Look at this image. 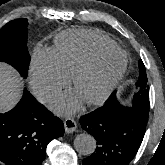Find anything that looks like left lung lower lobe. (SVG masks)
<instances>
[{"instance_id": "1", "label": "left lung lower lobe", "mask_w": 165, "mask_h": 165, "mask_svg": "<svg viewBox=\"0 0 165 165\" xmlns=\"http://www.w3.org/2000/svg\"><path fill=\"white\" fill-rule=\"evenodd\" d=\"M149 112L104 106L80 118L81 127L97 140L95 152L82 165H128L143 140Z\"/></svg>"}]
</instances>
